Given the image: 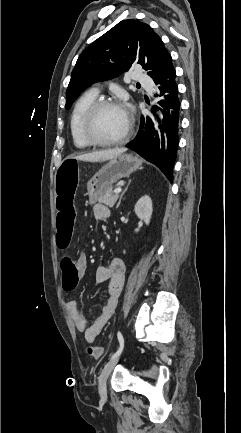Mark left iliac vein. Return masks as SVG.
<instances>
[{"mask_svg":"<svg viewBox=\"0 0 241 433\" xmlns=\"http://www.w3.org/2000/svg\"><path fill=\"white\" fill-rule=\"evenodd\" d=\"M120 356H116L114 358H112L103 368L100 378H99V394L101 396L102 399H106L107 397V389H106V382L107 379L110 375V373L112 372V370L114 369L115 365L117 364V362L119 361Z\"/></svg>","mask_w":241,"mask_h":433,"instance_id":"left-iliac-vein-1","label":"left iliac vein"}]
</instances>
